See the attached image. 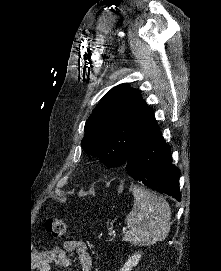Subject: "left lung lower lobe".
Here are the masks:
<instances>
[{
  "label": "left lung lower lobe",
  "instance_id": "1",
  "mask_svg": "<svg viewBox=\"0 0 221 271\" xmlns=\"http://www.w3.org/2000/svg\"><path fill=\"white\" fill-rule=\"evenodd\" d=\"M126 169L135 180L181 201L179 169L172 164L170 147L158 127L131 151Z\"/></svg>",
  "mask_w": 221,
  "mask_h": 271
}]
</instances>
